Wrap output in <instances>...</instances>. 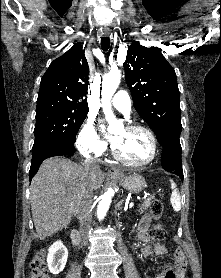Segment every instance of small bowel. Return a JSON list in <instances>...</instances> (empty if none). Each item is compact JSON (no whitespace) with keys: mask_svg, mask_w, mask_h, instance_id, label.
Here are the masks:
<instances>
[{"mask_svg":"<svg viewBox=\"0 0 221 278\" xmlns=\"http://www.w3.org/2000/svg\"><path fill=\"white\" fill-rule=\"evenodd\" d=\"M151 226V217L148 214L142 216L138 224L137 239L139 242L143 243L140 253L144 257L150 256L153 252L158 256H164L167 254V248L162 243H156L154 246L148 244L149 229ZM175 260V278H184L186 271V261L185 256L181 250H175L174 252ZM154 278H165V273L159 272Z\"/></svg>","mask_w":221,"mask_h":278,"instance_id":"c3829d8e","label":"small bowel"}]
</instances>
